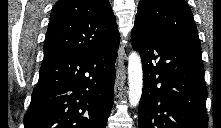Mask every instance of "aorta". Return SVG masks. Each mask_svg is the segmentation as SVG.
<instances>
[{
	"instance_id": "aorta-1",
	"label": "aorta",
	"mask_w": 221,
	"mask_h": 128,
	"mask_svg": "<svg viewBox=\"0 0 221 128\" xmlns=\"http://www.w3.org/2000/svg\"><path fill=\"white\" fill-rule=\"evenodd\" d=\"M128 97L132 107L139 104L143 88V71L140 55L132 52L128 58Z\"/></svg>"
}]
</instances>
